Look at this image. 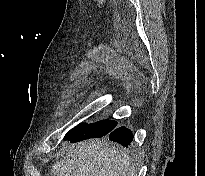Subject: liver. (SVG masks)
I'll return each instance as SVG.
<instances>
[{"label": "liver", "instance_id": "1", "mask_svg": "<svg viewBox=\"0 0 205 176\" xmlns=\"http://www.w3.org/2000/svg\"><path fill=\"white\" fill-rule=\"evenodd\" d=\"M51 171L53 176H136L125 149L99 140L70 145Z\"/></svg>", "mask_w": 205, "mask_h": 176}]
</instances>
